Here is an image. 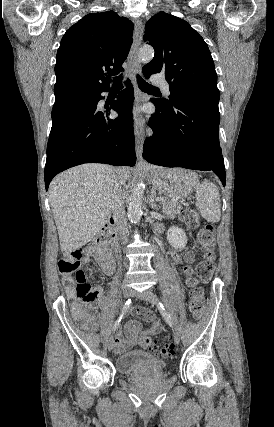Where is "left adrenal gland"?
Here are the masks:
<instances>
[{
    "instance_id": "a2214340",
    "label": "left adrenal gland",
    "mask_w": 274,
    "mask_h": 427,
    "mask_svg": "<svg viewBox=\"0 0 274 427\" xmlns=\"http://www.w3.org/2000/svg\"><path fill=\"white\" fill-rule=\"evenodd\" d=\"M155 198H156V190L155 188H152L151 196L150 198H148L147 204H149L150 208H153V210H156L157 212V210H159V206H157Z\"/></svg>"
}]
</instances>
